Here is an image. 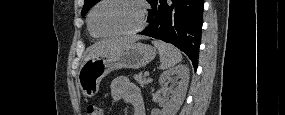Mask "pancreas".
Masks as SVG:
<instances>
[{"label":"pancreas","instance_id":"cf45deb5","mask_svg":"<svg viewBox=\"0 0 285 115\" xmlns=\"http://www.w3.org/2000/svg\"><path fill=\"white\" fill-rule=\"evenodd\" d=\"M133 78L142 88H145V86L149 83V80H147L142 74L134 75Z\"/></svg>","mask_w":285,"mask_h":115}]
</instances>
